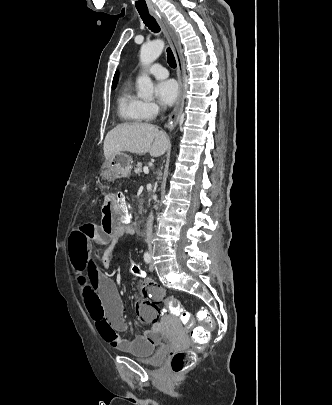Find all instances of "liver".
<instances>
[{
  "instance_id": "liver-1",
  "label": "liver",
  "mask_w": 332,
  "mask_h": 405,
  "mask_svg": "<svg viewBox=\"0 0 332 405\" xmlns=\"http://www.w3.org/2000/svg\"><path fill=\"white\" fill-rule=\"evenodd\" d=\"M169 145V137L164 131L149 123L135 122L119 124L108 132L103 150L106 160L124 151L160 157Z\"/></svg>"
}]
</instances>
